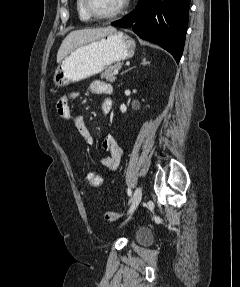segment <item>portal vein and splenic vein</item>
Masks as SVG:
<instances>
[{
  "label": "portal vein and splenic vein",
  "mask_w": 240,
  "mask_h": 287,
  "mask_svg": "<svg viewBox=\"0 0 240 287\" xmlns=\"http://www.w3.org/2000/svg\"><path fill=\"white\" fill-rule=\"evenodd\" d=\"M114 73H115V74H118V70H115Z\"/></svg>",
  "instance_id": "obj_1"
}]
</instances>
